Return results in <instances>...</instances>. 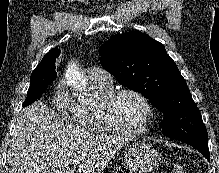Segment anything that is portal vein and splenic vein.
Masks as SVG:
<instances>
[{
	"mask_svg": "<svg viewBox=\"0 0 219 173\" xmlns=\"http://www.w3.org/2000/svg\"><path fill=\"white\" fill-rule=\"evenodd\" d=\"M77 164H78V163H73V166L76 167Z\"/></svg>",
	"mask_w": 219,
	"mask_h": 173,
	"instance_id": "1",
	"label": "portal vein and splenic vein"
}]
</instances>
